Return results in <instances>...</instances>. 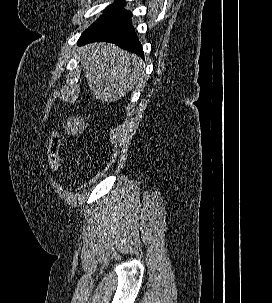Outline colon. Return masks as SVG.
I'll use <instances>...</instances> for the list:
<instances>
[{"mask_svg": "<svg viewBox=\"0 0 272 303\" xmlns=\"http://www.w3.org/2000/svg\"><path fill=\"white\" fill-rule=\"evenodd\" d=\"M60 139L55 133L51 134L48 140L47 161L51 171H57L60 165Z\"/></svg>", "mask_w": 272, "mask_h": 303, "instance_id": "1", "label": "colon"}]
</instances>
